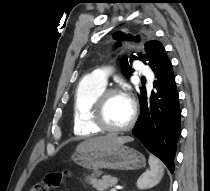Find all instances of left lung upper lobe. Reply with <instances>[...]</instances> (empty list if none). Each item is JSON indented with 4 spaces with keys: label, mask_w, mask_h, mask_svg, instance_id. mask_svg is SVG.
<instances>
[{
    "label": "left lung upper lobe",
    "mask_w": 210,
    "mask_h": 191,
    "mask_svg": "<svg viewBox=\"0 0 210 191\" xmlns=\"http://www.w3.org/2000/svg\"><path fill=\"white\" fill-rule=\"evenodd\" d=\"M114 38L118 40L129 39V40H134L135 42H138L140 40L139 36L132 37V36L125 35L119 32L114 33ZM145 47H146L147 55H144L142 57H140L139 55V57H136V59L140 58V60L143 61L144 63H146L145 61H148V64L150 65V67H152L155 63H157V61L160 60L162 55L166 54L163 45L156 40L147 42L145 44ZM126 73L130 74L129 65H128V69Z\"/></svg>",
    "instance_id": "left-lung-upper-lobe-1"
}]
</instances>
